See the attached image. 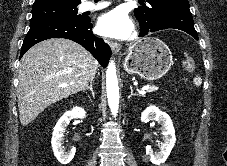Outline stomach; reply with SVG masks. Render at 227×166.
<instances>
[{
  "instance_id": "stomach-1",
  "label": "stomach",
  "mask_w": 227,
  "mask_h": 166,
  "mask_svg": "<svg viewBox=\"0 0 227 166\" xmlns=\"http://www.w3.org/2000/svg\"><path fill=\"white\" fill-rule=\"evenodd\" d=\"M173 64L168 46L158 38L145 37L134 43L125 58L124 69L146 80L163 77Z\"/></svg>"
}]
</instances>
